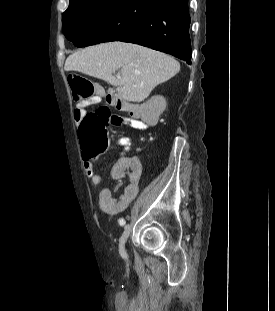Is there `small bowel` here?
Wrapping results in <instances>:
<instances>
[{
  "instance_id": "1",
  "label": "small bowel",
  "mask_w": 275,
  "mask_h": 311,
  "mask_svg": "<svg viewBox=\"0 0 275 311\" xmlns=\"http://www.w3.org/2000/svg\"><path fill=\"white\" fill-rule=\"evenodd\" d=\"M94 104L80 103L74 110V119L76 123L80 124L82 118L86 114L85 108ZM125 110H129L131 117L124 118V125H129L135 129L146 130L153 124L140 120L133 116V107L128 103H122L120 105ZM117 143L123 148V152L120 154L122 160H115L114 169H109V176H113L114 180H134L125 189L124 194L120 198H113L116 194V187H102L99 196L102 198L100 204L96 207L97 213H104V216H119V212L126 209L128 204L138 194V184L135 180H141V171H144V164H139L136 155H125L126 151L130 149L131 139L127 136H120L117 138ZM83 167L86 175L89 178L92 186H98L102 182V176L95 170V162L97 157H91L86 151H82Z\"/></svg>"
}]
</instances>
